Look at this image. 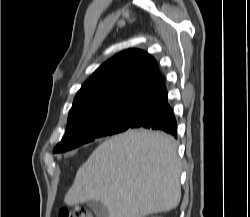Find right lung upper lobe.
<instances>
[{"label": "right lung upper lobe", "instance_id": "obj_1", "mask_svg": "<svg viewBox=\"0 0 250 217\" xmlns=\"http://www.w3.org/2000/svg\"><path fill=\"white\" fill-rule=\"evenodd\" d=\"M164 86L153 57L138 49L123 51L102 64L82 85L68 120L118 105L140 103Z\"/></svg>", "mask_w": 250, "mask_h": 217}]
</instances>
